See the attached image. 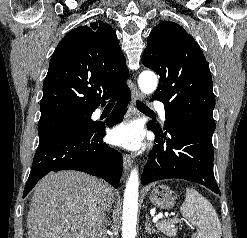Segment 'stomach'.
<instances>
[{
  "instance_id": "1",
  "label": "stomach",
  "mask_w": 247,
  "mask_h": 238,
  "mask_svg": "<svg viewBox=\"0 0 247 238\" xmlns=\"http://www.w3.org/2000/svg\"><path fill=\"white\" fill-rule=\"evenodd\" d=\"M149 200L160 209H170L174 206L176 197L166 185H157L149 194Z\"/></svg>"
}]
</instances>
